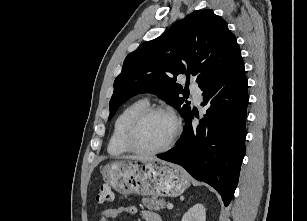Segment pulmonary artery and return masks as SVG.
<instances>
[{"label": "pulmonary artery", "mask_w": 307, "mask_h": 221, "mask_svg": "<svg viewBox=\"0 0 307 221\" xmlns=\"http://www.w3.org/2000/svg\"><path fill=\"white\" fill-rule=\"evenodd\" d=\"M190 91L194 96L195 102L199 103L202 99V91L196 83H191Z\"/></svg>", "instance_id": "obj_1"}]
</instances>
